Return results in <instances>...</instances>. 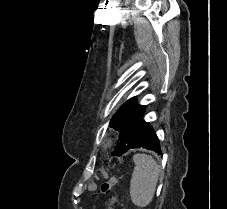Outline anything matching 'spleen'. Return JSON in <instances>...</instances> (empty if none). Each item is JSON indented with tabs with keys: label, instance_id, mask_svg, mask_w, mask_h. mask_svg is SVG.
Instances as JSON below:
<instances>
[{
	"label": "spleen",
	"instance_id": "3e777b00",
	"mask_svg": "<svg viewBox=\"0 0 227 209\" xmlns=\"http://www.w3.org/2000/svg\"><path fill=\"white\" fill-rule=\"evenodd\" d=\"M136 165L130 181V197L136 207L150 205L156 191L159 177V165L151 155H134Z\"/></svg>",
	"mask_w": 227,
	"mask_h": 209
}]
</instances>
